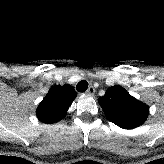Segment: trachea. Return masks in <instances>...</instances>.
Listing matches in <instances>:
<instances>
[{
    "label": "trachea",
    "instance_id": "trachea-1",
    "mask_svg": "<svg viewBox=\"0 0 164 164\" xmlns=\"http://www.w3.org/2000/svg\"><path fill=\"white\" fill-rule=\"evenodd\" d=\"M88 88V82L85 80L80 81L77 85H76V90L78 92H85Z\"/></svg>",
    "mask_w": 164,
    "mask_h": 164
}]
</instances>
